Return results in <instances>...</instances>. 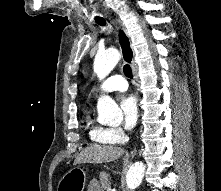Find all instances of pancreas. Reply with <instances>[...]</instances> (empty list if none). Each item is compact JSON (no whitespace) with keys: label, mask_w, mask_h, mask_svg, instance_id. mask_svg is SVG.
I'll list each match as a JSON object with an SVG mask.
<instances>
[{"label":"pancreas","mask_w":221,"mask_h":191,"mask_svg":"<svg viewBox=\"0 0 221 191\" xmlns=\"http://www.w3.org/2000/svg\"><path fill=\"white\" fill-rule=\"evenodd\" d=\"M100 184L104 189H109L111 187L110 177L107 173L101 172L99 174Z\"/></svg>","instance_id":"cf45deb5"}]
</instances>
